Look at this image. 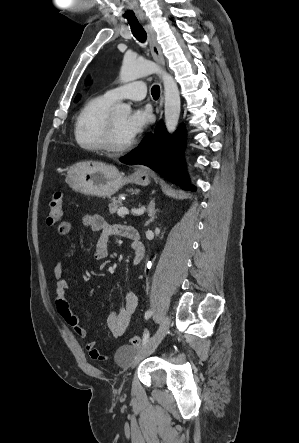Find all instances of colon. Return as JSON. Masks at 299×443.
<instances>
[{"instance_id": "5ec220e1", "label": "colon", "mask_w": 299, "mask_h": 443, "mask_svg": "<svg viewBox=\"0 0 299 443\" xmlns=\"http://www.w3.org/2000/svg\"><path fill=\"white\" fill-rule=\"evenodd\" d=\"M62 204H63V193L60 190L55 191L47 205L46 209V222L48 225L57 224L62 217ZM131 347L134 349H140L142 346V339L138 336L131 338ZM131 352L130 347H124L117 354V359L119 362H125Z\"/></svg>"}]
</instances>
